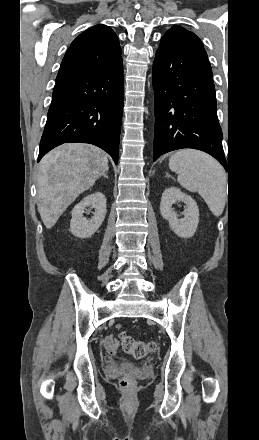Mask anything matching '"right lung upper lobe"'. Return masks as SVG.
<instances>
[{"label":"right lung upper lobe","mask_w":259,"mask_h":440,"mask_svg":"<svg viewBox=\"0 0 259 440\" xmlns=\"http://www.w3.org/2000/svg\"><path fill=\"white\" fill-rule=\"evenodd\" d=\"M121 58L114 31L99 24L81 33L67 50L58 75H75L99 69Z\"/></svg>","instance_id":"obj_1"}]
</instances>
